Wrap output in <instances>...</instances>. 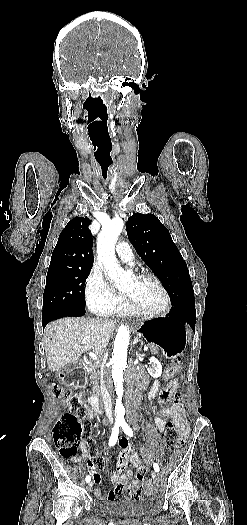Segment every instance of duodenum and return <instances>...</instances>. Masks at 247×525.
Returning <instances> with one entry per match:
<instances>
[{
    "label": "duodenum",
    "mask_w": 247,
    "mask_h": 525,
    "mask_svg": "<svg viewBox=\"0 0 247 525\" xmlns=\"http://www.w3.org/2000/svg\"><path fill=\"white\" fill-rule=\"evenodd\" d=\"M85 367L86 363L84 360L79 359L75 361L72 368L63 373V379L71 386H79L82 382L81 372ZM88 402L94 412L101 413L103 411V406L99 397L90 396Z\"/></svg>",
    "instance_id": "duodenum-1"
}]
</instances>
